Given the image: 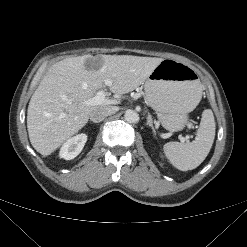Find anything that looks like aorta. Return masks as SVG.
<instances>
[{"label":"aorta","mask_w":247,"mask_h":247,"mask_svg":"<svg viewBox=\"0 0 247 247\" xmlns=\"http://www.w3.org/2000/svg\"><path fill=\"white\" fill-rule=\"evenodd\" d=\"M124 119L128 123H137L139 121V114L134 110H127L124 114Z\"/></svg>","instance_id":"762f6f07"}]
</instances>
